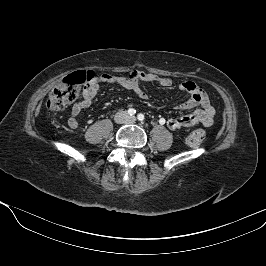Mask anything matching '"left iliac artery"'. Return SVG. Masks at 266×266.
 <instances>
[{
	"label": "left iliac artery",
	"mask_w": 266,
	"mask_h": 266,
	"mask_svg": "<svg viewBox=\"0 0 266 266\" xmlns=\"http://www.w3.org/2000/svg\"><path fill=\"white\" fill-rule=\"evenodd\" d=\"M137 118H138L139 121H143L144 120V115L140 113V114H138Z\"/></svg>",
	"instance_id": "1"
}]
</instances>
